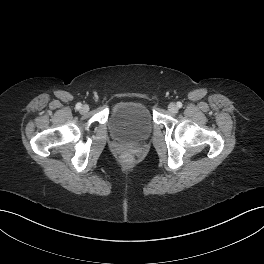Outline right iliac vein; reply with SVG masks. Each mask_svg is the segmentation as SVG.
I'll return each mask as SVG.
<instances>
[{
  "instance_id": "1",
  "label": "right iliac vein",
  "mask_w": 264,
  "mask_h": 264,
  "mask_svg": "<svg viewBox=\"0 0 264 264\" xmlns=\"http://www.w3.org/2000/svg\"><path fill=\"white\" fill-rule=\"evenodd\" d=\"M88 110H89L88 105H83L82 108H81V112L82 113H86V112H88Z\"/></svg>"
}]
</instances>
